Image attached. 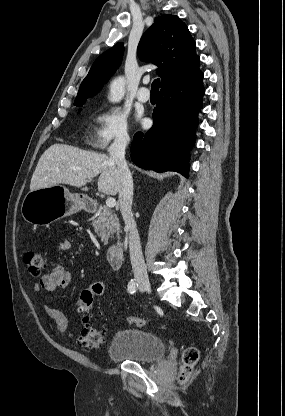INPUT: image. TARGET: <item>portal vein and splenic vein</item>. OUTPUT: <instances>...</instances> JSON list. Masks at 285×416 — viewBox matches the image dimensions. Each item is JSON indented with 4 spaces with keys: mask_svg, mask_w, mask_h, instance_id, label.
Listing matches in <instances>:
<instances>
[{
    "mask_svg": "<svg viewBox=\"0 0 285 416\" xmlns=\"http://www.w3.org/2000/svg\"><path fill=\"white\" fill-rule=\"evenodd\" d=\"M106 206H108V208H114V206H116V200H114V198H107Z\"/></svg>",
    "mask_w": 285,
    "mask_h": 416,
    "instance_id": "portal-vein-and-splenic-vein-1",
    "label": "portal vein and splenic vein"
}]
</instances>
